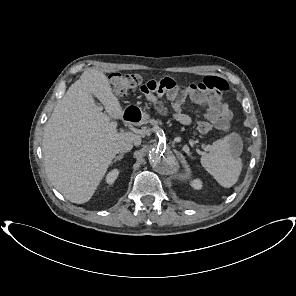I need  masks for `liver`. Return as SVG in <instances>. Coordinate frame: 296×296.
<instances>
[{"label": "liver", "instance_id": "liver-1", "mask_svg": "<svg viewBox=\"0 0 296 296\" xmlns=\"http://www.w3.org/2000/svg\"><path fill=\"white\" fill-rule=\"evenodd\" d=\"M122 116L107 76L95 68L86 69L58 101L44 129L42 151L50 182L67 200L82 204L91 199L116 155V142L140 144V136L110 127V117Z\"/></svg>", "mask_w": 296, "mask_h": 296}]
</instances>
